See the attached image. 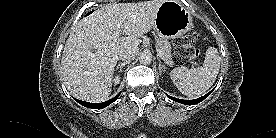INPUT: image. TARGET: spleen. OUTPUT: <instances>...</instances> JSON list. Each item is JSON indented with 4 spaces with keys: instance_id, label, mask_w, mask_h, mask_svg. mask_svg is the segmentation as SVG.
<instances>
[{
    "instance_id": "spleen-1",
    "label": "spleen",
    "mask_w": 276,
    "mask_h": 138,
    "mask_svg": "<svg viewBox=\"0 0 276 138\" xmlns=\"http://www.w3.org/2000/svg\"><path fill=\"white\" fill-rule=\"evenodd\" d=\"M220 62L218 50L215 47H209L202 67H177L171 71L170 78L182 94L188 97L198 96L206 92L215 82Z\"/></svg>"
}]
</instances>
